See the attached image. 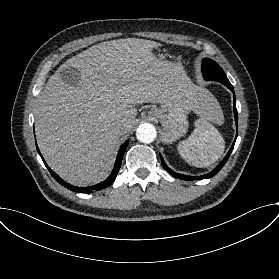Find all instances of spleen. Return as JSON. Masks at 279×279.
<instances>
[{
  "instance_id": "spleen-1",
  "label": "spleen",
  "mask_w": 279,
  "mask_h": 279,
  "mask_svg": "<svg viewBox=\"0 0 279 279\" xmlns=\"http://www.w3.org/2000/svg\"><path fill=\"white\" fill-rule=\"evenodd\" d=\"M200 97L201 118L194 121L193 132L177 144V149L184 159L188 157L185 159L188 163L206 167L223 154L224 140L212 125H222L224 117L219 103L209 92L202 90Z\"/></svg>"
}]
</instances>
